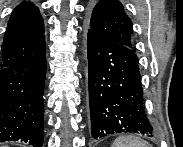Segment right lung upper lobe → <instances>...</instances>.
Returning a JSON list of instances; mask_svg holds the SVG:
<instances>
[{
  "instance_id": "right-lung-upper-lobe-1",
  "label": "right lung upper lobe",
  "mask_w": 183,
  "mask_h": 147,
  "mask_svg": "<svg viewBox=\"0 0 183 147\" xmlns=\"http://www.w3.org/2000/svg\"><path fill=\"white\" fill-rule=\"evenodd\" d=\"M44 50V23L39 9L24 1L13 10L8 21L1 67L25 62Z\"/></svg>"
}]
</instances>
